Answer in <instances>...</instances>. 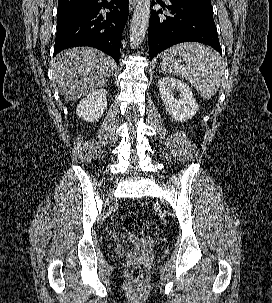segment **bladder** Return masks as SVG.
I'll use <instances>...</instances> for the list:
<instances>
[{
    "label": "bladder",
    "instance_id": "obj_1",
    "mask_svg": "<svg viewBox=\"0 0 272 303\" xmlns=\"http://www.w3.org/2000/svg\"><path fill=\"white\" fill-rule=\"evenodd\" d=\"M141 243L139 239H133L129 242L123 243L121 245L114 247V253L117 255H123L129 252L130 250L134 249L138 244Z\"/></svg>",
    "mask_w": 272,
    "mask_h": 303
}]
</instances>
